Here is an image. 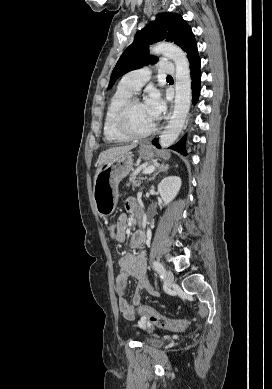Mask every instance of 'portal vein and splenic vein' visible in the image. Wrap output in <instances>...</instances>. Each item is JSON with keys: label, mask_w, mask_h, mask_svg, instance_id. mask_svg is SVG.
Wrapping results in <instances>:
<instances>
[{"label": "portal vein and splenic vein", "mask_w": 272, "mask_h": 389, "mask_svg": "<svg viewBox=\"0 0 272 389\" xmlns=\"http://www.w3.org/2000/svg\"><path fill=\"white\" fill-rule=\"evenodd\" d=\"M154 170H155V166H149L143 170V173L150 174V173L154 172Z\"/></svg>", "instance_id": "18ae733b"}]
</instances>
